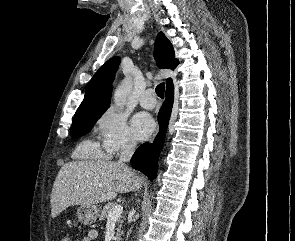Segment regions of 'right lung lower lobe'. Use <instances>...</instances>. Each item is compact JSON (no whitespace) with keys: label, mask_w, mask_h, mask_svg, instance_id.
I'll return each mask as SVG.
<instances>
[{"label":"right lung lower lobe","mask_w":295,"mask_h":241,"mask_svg":"<svg viewBox=\"0 0 295 241\" xmlns=\"http://www.w3.org/2000/svg\"><path fill=\"white\" fill-rule=\"evenodd\" d=\"M174 99V87L173 84L167 86L166 100L163 103L159 114L158 121L160 125V131L152 144H142L134 153L131 159V165L134 169L141 171L143 174L149 177V180L155 178L157 172V162L159 153L161 151L163 141L166 134L167 124L172 108Z\"/></svg>","instance_id":"1"}]
</instances>
